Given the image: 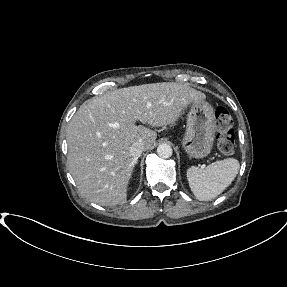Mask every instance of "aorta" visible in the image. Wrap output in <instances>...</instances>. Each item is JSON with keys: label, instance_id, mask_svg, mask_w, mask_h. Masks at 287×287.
Masks as SVG:
<instances>
[{"label": "aorta", "instance_id": "1", "mask_svg": "<svg viewBox=\"0 0 287 287\" xmlns=\"http://www.w3.org/2000/svg\"><path fill=\"white\" fill-rule=\"evenodd\" d=\"M173 150L170 145L162 143L157 147V154L163 159H167L172 156Z\"/></svg>", "mask_w": 287, "mask_h": 287}]
</instances>
